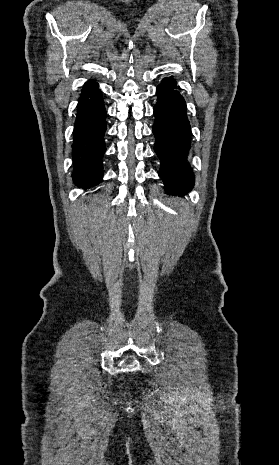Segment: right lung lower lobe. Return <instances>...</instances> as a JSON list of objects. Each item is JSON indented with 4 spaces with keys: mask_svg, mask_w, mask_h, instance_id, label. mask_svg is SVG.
Wrapping results in <instances>:
<instances>
[{
    "mask_svg": "<svg viewBox=\"0 0 279 465\" xmlns=\"http://www.w3.org/2000/svg\"><path fill=\"white\" fill-rule=\"evenodd\" d=\"M106 111L98 84L87 82L81 92L76 109L73 131L74 182L82 188L101 182L103 156L106 151Z\"/></svg>",
    "mask_w": 279,
    "mask_h": 465,
    "instance_id": "1",
    "label": "right lung lower lobe"
}]
</instances>
